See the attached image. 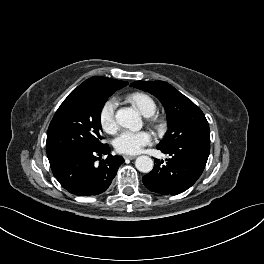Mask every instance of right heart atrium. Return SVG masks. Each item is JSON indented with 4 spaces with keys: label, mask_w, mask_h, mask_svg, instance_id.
Wrapping results in <instances>:
<instances>
[{
    "label": "right heart atrium",
    "mask_w": 264,
    "mask_h": 264,
    "mask_svg": "<svg viewBox=\"0 0 264 264\" xmlns=\"http://www.w3.org/2000/svg\"><path fill=\"white\" fill-rule=\"evenodd\" d=\"M117 99L111 97L107 99L99 112V121L102 128L109 133L114 132L117 129V120H116V108H117Z\"/></svg>",
    "instance_id": "obj_1"
}]
</instances>
